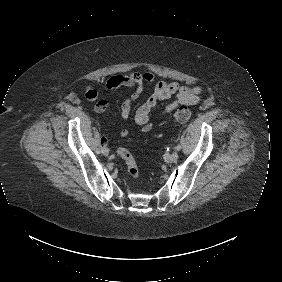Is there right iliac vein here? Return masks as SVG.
Returning <instances> with one entry per match:
<instances>
[{
	"label": "right iliac vein",
	"instance_id": "1",
	"mask_svg": "<svg viewBox=\"0 0 282 282\" xmlns=\"http://www.w3.org/2000/svg\"><path fill=\"white\" fill-rule=\"evenodd\" d=\"M101 152H102V154H103L104 156H108V155H109V149L106 148V147H103L102 150H101Z\"/></svg>",
	"mask_w": 282,
	"mask_h": 282
}]
</instances>
